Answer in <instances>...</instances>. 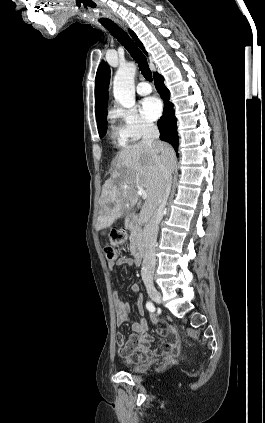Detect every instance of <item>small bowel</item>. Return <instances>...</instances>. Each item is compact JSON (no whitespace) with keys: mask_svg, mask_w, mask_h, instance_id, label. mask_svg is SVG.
I'll return each instance as SVG.
<instances>
[{"mask_svg":"<svg viewBox=\"0 0 265 423\" xmlns=\"http://www.w3.org/2000/svg\"><path fill=\"white\" fill-rule=\"evenodd\" d=\"M122 265L132 267L139 265V263L126 257H120L108 263L111 270ZM131 291L138 295L136 304L138 313L141 316L139 321L131 320V306L129 302L122 300L117 292L113 294L116 325L122 326L125 322H130L132 329V334L128 339H125L121 334L117 336L120 356L130 363L139 364L158 356L170 358L177 355L180 350V338L175 331L159 332L158 335L162 337L160 344L155 347L151 346L157 341V337L147 333L148 323L143 318L144 308L139 284L133 283L131 285ZM150 319L153 323L157 322L158 317L154 311H151Z\"/></svg>","mask_w":265,"mask_h":423,"instance_id":"1","label":"small bowel"}]
</instances>
